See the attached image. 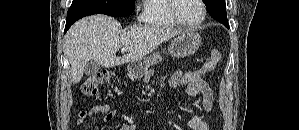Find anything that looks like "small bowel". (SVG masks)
Listing matches in <instances>:
<instances>
[{
  "instance_id": "small-bowel-1",
  "label": "small bowel",
  "mask_w": 299,
  "mask_h": 130,
  "mask_svg": "<svg viewBox=\"0 0 299 130\" xmlns=\"http://www.w3.org/2000/svg\"><path fill=\"white\" fill-rule=\"evenodd\" d=\"M183 72L181 70L174 73L170 80V84L172 87H175L181 78ZM185 93L188 97L193 98L196 95H201L202 106L204 110L211 111L213 108V90L211 84L205 80L201 79L200 81L193 83L186 87ZM97 114H103V122H110L114 119L117 112L115 110L110 109L107 104H99L93 106L87 113L88 117H93ZM84 119H81L80 122H83ZM188 126L192 130H211L210 124L202 120L199 116L193 115L189 121ZM136 124H124L119 128V130H136Z\"/></svg>"
}]
</instances>
